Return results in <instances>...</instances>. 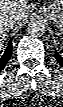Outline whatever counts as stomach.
Instances as JSON below:
<instances>
[{
	"label": "stomach",
	"mask_w": 63,
	"mask_h": 107,
	"mask_svg": "<svg viewBox=\"0 0 63 107\" xmlns=\"http://www.w3.org/2000/svg\"><path fill=\"white\" fill-rule=\"evenodd\" d=\"M40 10L60 31H63V0H54L51 4L43 5Z\"/></svg>",
	"instance_id": "1"
}]
</instances>
